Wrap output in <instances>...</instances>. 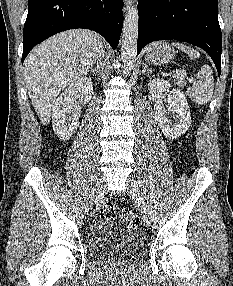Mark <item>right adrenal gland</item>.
<instances>
[{"instance_id":"right-adrenal-gland-1","label":"right adrenal gland","mask_w":233,"mask_h":286,"mask_svg":"<svg viewBox=\"0 0 233 286\" xmlns=\"http://www.w3.org/2000/svg\"><path fill=\"white\" fill-rule=\"evenodd\" d=\"M89 72L93 73L94 75H100V65L98 64L95 69H90Z\"/></svg>"}]
</instances>
